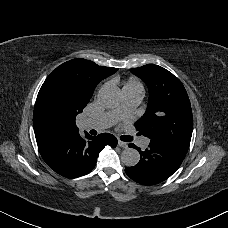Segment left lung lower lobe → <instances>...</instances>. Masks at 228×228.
<instances>
[{
  "label": "left lung lower lobe",
  "instance_id": "obj_1",
  "mask_svg": "<svg viewBox=\"0 0 228 228\" xmlns=\"http://www.w3.org/2000/svg\"><path fill=\"white\" fill-rule=\"evenodd\" d=\"M140 153V161L133 167L125 168L126 174L142 185L158 184L169 178L181 165L188 148L161 139H150L148 148Z\"/></svg>",
  "mask_w": 228,
  "mask_h": 228
}]
</instances>
